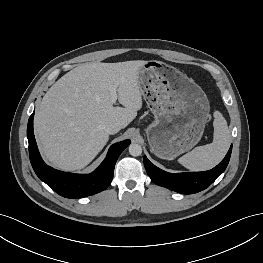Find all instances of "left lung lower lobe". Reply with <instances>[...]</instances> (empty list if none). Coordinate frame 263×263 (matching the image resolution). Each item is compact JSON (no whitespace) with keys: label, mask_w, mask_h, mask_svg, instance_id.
<instances>
[{"label":"left lung lower lobe","mask_w":263,"mask_h":263,"mask_svg":"<svg viewBox=\"0 0 263 263\" xmlns=\"http://www.w3.org/2000/svg\"><path fill=\"white\" fill-rule=\"evenodd\" d=\"M232 145L225 158L213 169L204 172L168 173L153 165L144 156V165L151 180L162 187L182 194H193L206 189L222 174L230 160Z\"/></svg>","instance_id":"obj_1"}]
</instances>
